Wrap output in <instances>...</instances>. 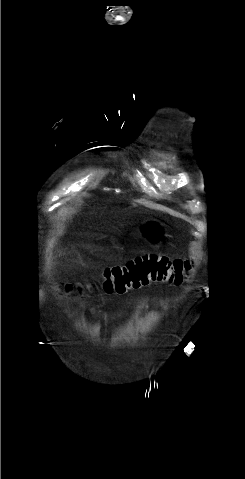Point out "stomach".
Segmentation results:
<instances>
[{
  "instance_id": "stomach-1",
  "label": "stomach",
  "mask_w": 245,
  "mask_h": 479,
  "mask_svg": "<svg viewBox=\"0 0 245 479\" xmlns=\"http://www.w3.org/2000/svg\"><path fill=\"white\" fill-rule=\"evenodd\" d=\"M140 233L152 243H156L163 236V224L157 220H150L143 224L140 228Z\"/></svg>"
}]
</instances>
